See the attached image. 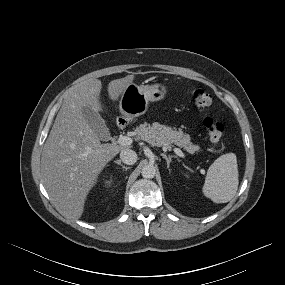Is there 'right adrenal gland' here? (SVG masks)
Here are the masks:
<instances>
[{
	"label": "right adrenal gland",
	"mask_w": 285,
	"mask_h": 285,
	"mask_svg": "<svg viewBox=\"0 0 285 285\" xmlns=\"http://www.w3.org/2000/svg\"><path fill=\"white\" fill-rule=\"evenodd\" d=\"M114 162H115L116 164L120 165V166H121L123 169H125L126 171H127L128 169H130V167L124 166V165L121 163L120 160H115Z\"/></svg>",
	"instance_id": "obj_1"
}]
</instances>
